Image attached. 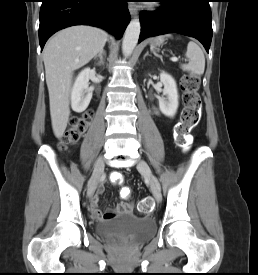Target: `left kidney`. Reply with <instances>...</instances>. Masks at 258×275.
Returning a JSON list of instances; mask_svg holds the SVG:
<instances>
[{"label":"left kidney","instance_id":"5707ae66","mask_svg":"<svg viewBox=\"0 0 258 275\" xmlns=\"http://www.w3.org/2000/svg\"><path fill=\"white\" fill-rule=\"evenodd\" d=\"M160 81L164 85L163 94L166 97L159 98V109L165 116L173 117L179 105L176 81L170 74L164 71L160 73Z\"/></svg>","mask_w":258,"mask_h":275}]
</instances>
